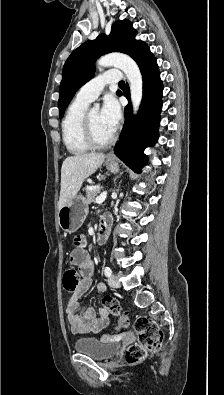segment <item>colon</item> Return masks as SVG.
I'll use <instances>...</instances> for the list:
<instances>
[{
  "instance_id": "colon-1",
  "label": "colon",
  "mask_w": 224,
  "mask_h": 395,
  "mask_svg": "<svg viewBox=\"0 0 224 395\" xmlns=\"http://www.w3.org/2000/svg\"><path fill=\"white\" fill-rule=\"evenodd\" d=\"M77 286L78 273L74 268H68L64 273V287L67 291H74ZM103 304L115 315L117 329H125L129 326V318L122 312L117 300L106 296L103 298ZM134 328L138 336L137 342L129 345L125 350V359L130 364L138 363L147 354L157 352L163 343L162 331L153 320L140 316L136 318Z\"/></svg>"
}]
</instances>
